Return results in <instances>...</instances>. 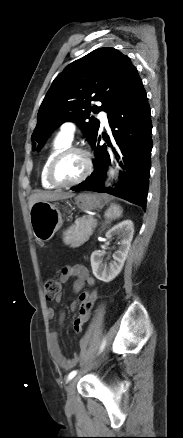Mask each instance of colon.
<instances>
[{"mask_svg": "<svg viewBox=\"0 0 183 438\" xmlns=\"http://www.w3.org/2000/svg\"><path fill=\"white\" fill-rule=\"evenodd\" d=\"M44 291L46 299L52 301L60 294L61 285L57 280L49 278L45 281ZM98 298L99 292L97 290H93L88 294L82 293L79 308L80 316L86 318L91 313L93 305Z\"/></svg>", "mask_w": 183, "mask_h": 438, "instance_id": "1", "label": "colon"}]
</instances>
